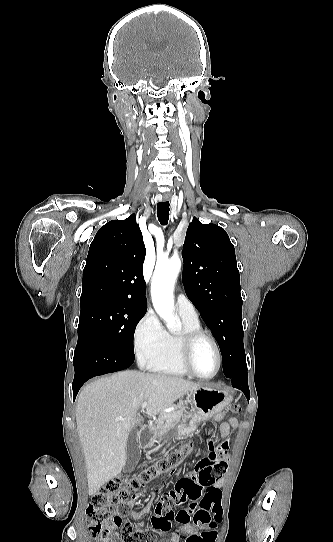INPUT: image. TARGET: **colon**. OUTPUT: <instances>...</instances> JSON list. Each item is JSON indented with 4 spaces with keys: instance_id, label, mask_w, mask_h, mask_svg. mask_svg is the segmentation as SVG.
Segmentation results:
<instances>
[{
    "instance_id": "5ec220e1",
    "label": "colon",
    "mask_w": 333,
    "mask_h": 542,
    "mask_svg": "<svg viewBox=\"0 0 333 542\" xmlns=\"http://www.w3.org/2000/svg\"><path fill=\"white\" fill-rule=\"evenodd\" d=\"M231 411L236 414L240 411L238 404L231 406ZM196 448L193 441L186 442L180 450L171 451L166 457L155 463L146 465L138 475H121L106 482L93 496L87 508L88 527L91 536L96 540H116L118 532L116 527L122 526V542H160L154 532L136 531L123 520L129 519V511L126 504L134 498L136 492L155 477L172 473L181 461L189 456ZM227 471L225 461L215 462L213 458L201 460L193 471L191 480L182 478L174 484L173 489H166V500H177L194 503L200 500V505H189L184 509H170L166 501L160 500L156 504L155 511L151 516L152 528H158L161 532L171 529L174 521L180 526H186L192 521L195 525L208 524L209 531L201 537H193L195 541L210 542L211 534L217 531V527L223 518V511L218 504L221 495L213 482L217 481ZM191 476L189 473L186 475Z\"/></svg>"
}]
</instances>
